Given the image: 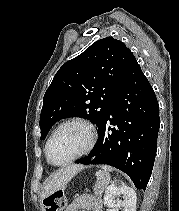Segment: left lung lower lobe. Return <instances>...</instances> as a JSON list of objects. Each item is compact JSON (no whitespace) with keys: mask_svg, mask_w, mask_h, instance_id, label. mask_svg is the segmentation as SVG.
I'll list each match as a JSON object with an SVG mask.
<instances>
[{"mask_svg":"<svg viewBox=\"0 0 179 211\" xmlns=\"http://www.w3.org/2000/svg\"><path fill=\"white\" fill-rule=\"evenodd\" d=\"M159 126L156 95L134 57L109 103L96 146L76 163L113 166L125 172L136 188L145 190ZM92 156L95 159L91 162Z\"/></svg>","mask_w":179,"mask_h":211,"instance_id":"1","label":"left lung lower lobe"}]
</instances>
